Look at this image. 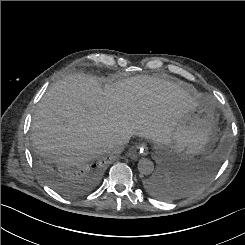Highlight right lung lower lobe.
<instances>
[{
    "mask_svg": "<svg viewBox=\"0 0 245 245\" xmlns=\"http://www.w3.org/2000/svg\"><path fill=\"white\" fill-rule=\"evenodd\" d=\"M99 168L93 165L90 170L79 176L58 173L56 170L44 169V174L52 187L67 197H78L84 194L93 184Z\"/></svg>",
    "mask_w": 245,
    "mask_h": 245,
    "instance_id": "1",
    "label": "right lung lower lobe"
}]
</instances>
